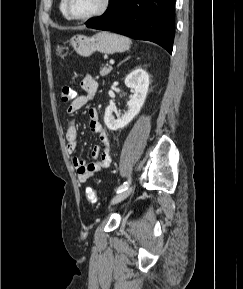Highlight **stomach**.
Segmentation results:
<instances>
[{
  "mask_svg": "<svg viewBox=\"0 0 243 289\" xmlns=\"http://www.w3.org/2000/svg\"><path fill=\"white\" fill-rule=\"evenodd\" d=\"M70 44L79 55L87 57L95 51L104 54L124 52L129 49L131 41L127 37L103 31L91 37L81 34L75 35L70 39ZM56 55L63 57L64 47L57 46Z\"/></svg>",
  "mask_w": 243,
  "mask_h": 289,
  "instance_id": "1",
  "label": "stomach"
}]
</instances>
